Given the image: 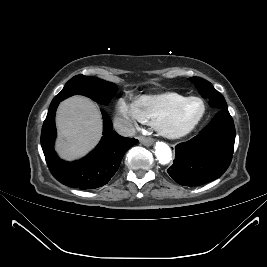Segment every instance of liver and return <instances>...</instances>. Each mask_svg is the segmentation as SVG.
Listing matches in <instances>:
<instances>
[{
    "instance_id": "1",
    "label": "liver",
    "mask_w": 267,
    "mask_h": 267,
    "mask_svg": "<svg viewBox=\"0 0 267 267\" xmlns=\"http://www.w3.org/2000/svg\"><path fill=\"white\" fill-rule=\"evenodd\" d=\"M56 125L59 132L56 150L66 160L84 156L102 136L101 114L97 106L83 96H73L60 103Z\"/></svg>"
}]
</instances>
